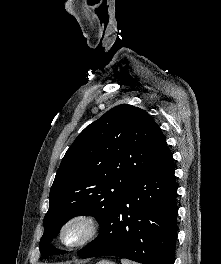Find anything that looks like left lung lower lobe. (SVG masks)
Here are the masks:
<instances>
[{
    "instance_id": "1",
    "label": "left lung lower lobe",
    "mask_w": 221,
    "mask_h": 264,
    "mask_svg": "<svg viewBox=\"0 0 221 264\" xmlns=\"http://www.w3.org/2000/svg\"><path fill=\"white\" fill-rule=\"evenodd\" d=\"M177 187L168 146L120 198L81 258L117 256L142 264H174Z\"/></svg>"
}]
</instances>
